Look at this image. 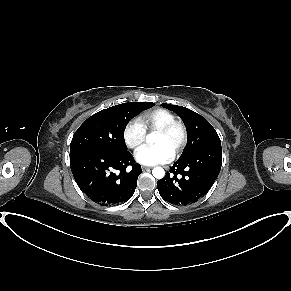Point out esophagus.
Wrapping results in <instances>:
<instances>
[{"label": "esophagus", "instance_id": "34e87169", "mask_svg": "<svg viewBox=\"0 0 291 291\" xmlns=\"http://www.w3.org/2000/svg\"><path fill=\"white\" fill-rule=\"evenodd\" d=\"M151 167H147V166H142V169L143 170H148V169H150Z\"/></svg>", "mask_w": 291, "mask_h": 291}]
</instances>
